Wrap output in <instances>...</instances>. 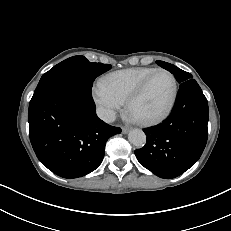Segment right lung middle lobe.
Returning <instances> with one entry per match:
<instances>
[{
    "label": "right lung middle lobe",
    "mask_w": 231,
    "mask_h": 231,
    "mask_svg": "<svg viewBox=\"0 0 231 231\" xmlns=\"http://www.w3.org/2000/svg\"><path fill=\"white\" fill-rule=\"evenodd\" d=\"M110 69L111 65L92 63L84 56L70 57L41 77L32 100L61 83L74 84L91 92L95 78Z\"/></svg>",
    "instance_id": "dd1d6c3e"
}]
</instances>
